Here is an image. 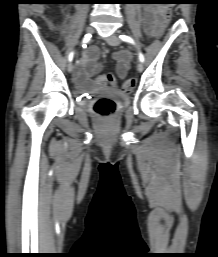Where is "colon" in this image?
<instances>
[{"label": "colon", "instance_id": "colon-1", "mask_svg": "<svg viewBox=\"0 0 218 257\" xmlns=\"http://www.w3.org/2000/svg\"><path fill=\"white\" fill-rule=\"evenodd\" d=\"M170 3L164 2L161 11L162 21H157L156 29L154 30L155 39H160V35H164L165 31H169L171 22L173 21L172 16L174 15V9L169 8ZM92 79L88 80L89 84H94V90H112L114 84H118L119 80L116 79V75L113 74V70H103V74H92ZM135 79H129L124 83V90L126 92L131 91L135 86ZM93 109L97 115L103 118L111 117L115 114L117 109L116 102L107 97L99 98L95 101Z\"/></svg>", "mask_w": 218, "mask_h": 257}]
</instances>
